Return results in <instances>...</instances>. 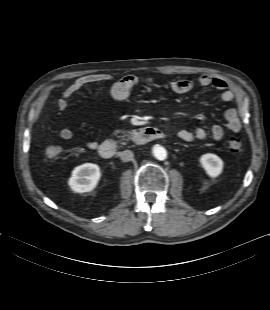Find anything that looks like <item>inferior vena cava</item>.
Segmentation results:
<instances>
[{"instance_id": "1", "label": "inferior vena cava", "mask_w": 270, "mask_h": 310, "mask_svg": "<svg viewBox=\"0 0 270 310\" xmlns=\"http://www.w3.org/2000/svg\"><path fill=\"white\" fill-rule=\"evenodd\" d=\"M134 154L131 150H124L120 153V158L123 162H129L133 160Z\"/></svg>"}]
</instances>
